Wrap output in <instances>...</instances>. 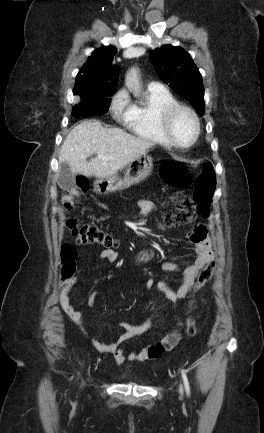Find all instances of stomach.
<instances>
[{"instance_id":"stomach-1","label":"stomach","mask_w":264,"mask_h":433,"mask_svg":"<svg viewBox=\"0 0 264 433\" xmlns=\"http://www.w3.org/2000/svg\"><path fill=\"white\" fill-rule=\"evenodd\" d=\"M152 169V157L144 154L128 165L123 178L114 175L99 179L94 183V190L99 194H108L126 189L146 179Z\"/></svg>"}]
</instances>
